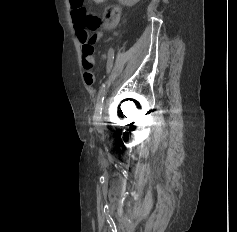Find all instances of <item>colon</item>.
<instances>
[{
	"label": "colon",
	"mask_w": 237,
	"mask_h": 232,
	"mask_svg": "<svg viewBox=\"0 0 237 232\" xmlns=\"http://www.w3.org/2000/svg\"><path fill=\"white\" fill-rule=\"evenodd\" d=\"M72 16L78 36L82 39L93 42L96 36L89 38V31H94L100 26V19L90 15L85 9V0H71ZM117 12L113 7L104 10V19H112Z\"/></svg>",
	"instance_id": "5ec220e1"
}]
</instances>
